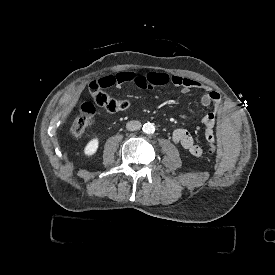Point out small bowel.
<instances>
[{
	"label": "small bowel",
	"instance_id": "obj_1",
	"mask_svg": "<svg viewBox=\"0 0 275 275\" xmlns=\"http://www.w3.org/2000/svg\"><path fill=\"white\" fill-rule=\"evenodd\" d=\"M106 80L111 81L108 86L115 85L117 87L152 89L171 84L179 87L183 93H188L193 90H203L204 93L200 98L201 105L204 107H212L202 119L205 128V138L208 143L211 141L216 142L214 127L217 114L222 108V101L220 94L205 84L177 74H169L164 71H150L146 74L122 71L115 76L106 77ZM172 139L194 157H201L203 155V149L195 142L193 136L187 130L182 128L175 129L172 133Z\"/></svg>",
	"mask_w": 275,
	"mask_h": 275
}]
</instances>
